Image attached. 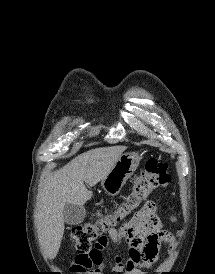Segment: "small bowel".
Wrapping results in <instances>:
<instances>
[{
  "label": "small bowel",
  "mask_w": 215,
  "mask_h": 274,
  "mask_svg": "<svg viewBox=\"0 0 215 274\" xmlns=\"http://www.w3.org/2000/svg\"><path fill=\"white\" fill-rule=\"evenodd\" d=\"M162 224L155 214V207L148 202L144 208L121 228H110L87 254H79L70 267L75 274H102L105 268L103 252L109 241L125 243L127 256L117 257L111 266L115 274H146L159 257L162 244L170 240L163 236Z\"/></svg>",
  "instance_id": "1"
}]
</instances>
